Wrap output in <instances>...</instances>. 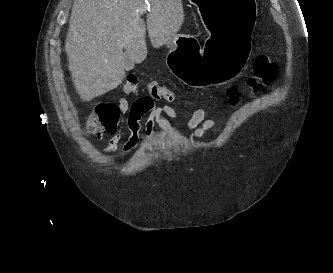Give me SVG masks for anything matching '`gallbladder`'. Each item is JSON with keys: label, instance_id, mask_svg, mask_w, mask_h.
<instances>
[{"label": "gallbladder", "instance_id": "1", "mask_svg": "<svg viewBox=\"0 0 333 273\" xmlns=\"http://www.w3.org/2000/svg\"><path fill=\"white\" fill-rule=\"evenodd\" d=\"M124 59H125V69L126 70L133 69L135 63L127 51L124 52Z\"/></svg>", "mask_w": 333, "mask_h": 273}]
</instances>
